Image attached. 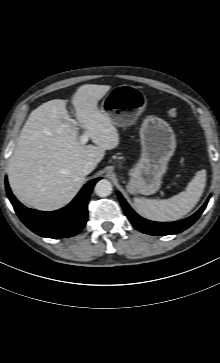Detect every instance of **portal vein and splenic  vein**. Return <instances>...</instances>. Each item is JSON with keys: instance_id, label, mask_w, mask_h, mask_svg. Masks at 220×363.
Returning a JSON list of instances; mask_svg holds the SVG:
<instances>
[{"instance_id": "18ae733b", "label": "portal vein and splenic vein", "mask_w": 220, "mask_h": 363, "mask_svg": "<svg viewBox=\"0 0 220 363\" xmlns=\"http://www.w3.org/2000/svg\"><path fill=\"white\" fill-rule=\"evenodd\" d=\"M75 125H78V124L75 123ZM88 140H89V133L87 130H84L83 134L80 137V143L84 145L88 142Z\"/></svg>"}]
</instances>
